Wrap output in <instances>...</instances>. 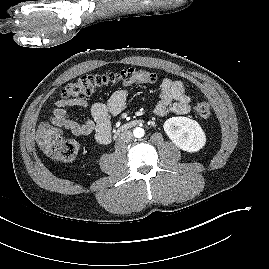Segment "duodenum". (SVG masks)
Listing matches in <instances>:
<instances>
[{"label":"duodenum","mask_w":269,"mask_h":269,"mask_svg":"<svg viewBox=\"0 0 269 269\" xmlns=\"http://www.w3.org/2000/svg\"><path fill=\"white\" fill-rule=\"evenodd\" d=\"M143 123V120L141 119H133V120H130V121H127L125 123H123L116 131V136L119 135L120 133L130 129V128H133V127H136V126H139Z\"/></svg>","instance_id":"duodenum-1"}]
</instances>
